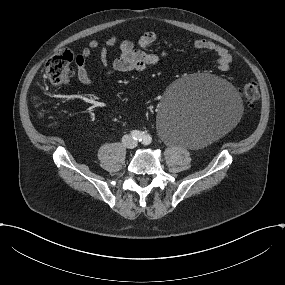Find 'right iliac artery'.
<instances>
[{
  "label": "right iliac artery",
  "mask_w": 285,
  "mask_h": 285,
  "mask_svg": "<svg viewBox=\"0 0 285 285\" xmlns=\"http://www.w3.org/2000/svg\"><path fill=\"white\" fill-rule=\"evenodd\" d=\"M131 136L134 140H137V141L143 140V133L138 130L131 131Z\"/></svg>",
  "instance_id": "right-iliac-artery-1"
}]
</instances>
